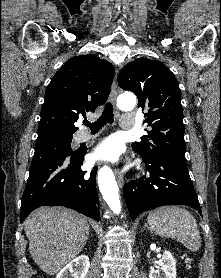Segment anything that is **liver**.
<instances>
[{
    "mask_svg": "<svg viewBox=\"0 0 221 278\" xmlns=\"http://www.w3.org/2000/svg\"><path fill=\"white\" fill-rule=\"evenodd\" d=\"M25 234L29 251L39 268L58 273L84 248L90 227L85 217L63 207H41L26 219Z\"/></svg>",
    "mask_w": 221,
    "mask_h": 278,
    "instance_id": "liver-1",
    "label": "liver"
}]
</instances>
